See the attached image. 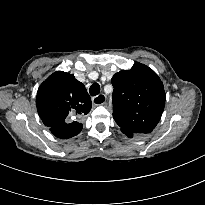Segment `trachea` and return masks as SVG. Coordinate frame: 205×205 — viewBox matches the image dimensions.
Listing matches in <instances>:
<instances>
[{"label":"trachea","instance_id":"obj_1","mask_svg":"<svg viewBox=\"0 0 205 205\" xmlns=\"http://www.w3.org/2000/svg\"><path fill=\"white\" fill-rule=\"evenodd\" d=\"M89 92L92 96H96L100 93V86L97 83H94L90 86Z\"/></svg>","mask_w":205,"mask_h":205}]
</instances>
